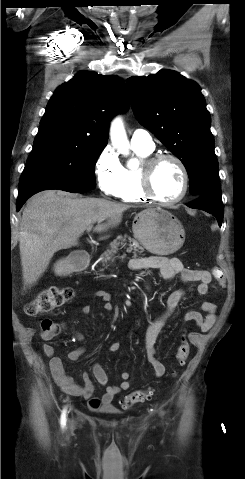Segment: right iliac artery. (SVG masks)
Instances as JSON below:
<instances>
[{
	"mask_svg": "<svg viewBox=\"0 0 245 479\" xmlns=\"http://www.w3.org/2000/svg\"><path fill=\"white\" fill-rule=\"evenodd\" d=\"M66 412H67L66 409H64L63 412H62V415H61L60 423H61L62 428H65V426H66Z\"/></svg>",
	"mask_w": 245,
	"mask_h": 479,
	"instance_id": "82829eb1",
	"label": "right iliac artery"
}]
</instances>
